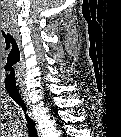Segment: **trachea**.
<instances>
[{
	"instance_id": "1",
	"label": "trachea",
	"mask_w": 121,
	"mask_h": 137,
	"mask_svg": "<svg viewBox=\"0 0 121 137\" xmlns=\"http://www.w3.org/2000/svg\"><path fill=\"white\" fill-rule=\"evenodd\" d=\"M6 41L7 45L10 49V53L8 55L7 60L4 63L3 68V77H4V84L5 88L7 89L9 95L12 97V99L22 107L25 118L28 123V125H32V120L30 117L26 114V108L24 106V103L20 97V94L17 89V72H16V65L20 61V49L17 43V40L11 30V27L7 26L6 31Z\"/></svg>"
}]
</instances>
